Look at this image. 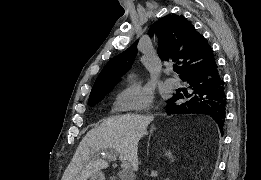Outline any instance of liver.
Masks as SVG:
<instances>
[{
	"label": "liver",
	"mask_w": 261,
	"mask_h": 180,
	"mask_svg": "<svg viewBox=\"0 0 261 180\" xmlns=\"http://www.w3.org/2000/svg\"><path fill=\"white\" fill-rule=\"evenodd\" d=\"M153 116L123 114L106 118L99 128L87 132L80 142L68 168V180H88L89 176L108 168L107 162L99 160L116 150L120 160L130 162L133 170H138V142L145 136L146 128Z\"/></svg>",
	"instance_id": "6515ba94"
}]
</instances>
